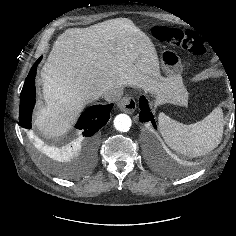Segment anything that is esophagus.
<instances>
[{"instance_id": "esophagus-1", "label": "esophagus", "mask_w": 236, "mask_h": 236, "mask_svg": "<svg viewBox=\"0 0 236 236\" xmlns=\"http://www.w3.org/2000/svg\"><path fill=\"white\" fill-rule=\"evenodd\" d=\"M136 107V101L131 96H125L118 102V108L128 114L134 113Z\"/></svg>"}]
</instances>
